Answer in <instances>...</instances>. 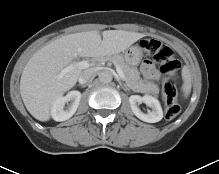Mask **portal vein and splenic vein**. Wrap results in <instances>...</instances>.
<instances>
[{
  "instance_id": "18ae733b",
  "label": "portal vein and splenic vein",
  "mask_w": 219,
  "mask_h": 174,
  "mask_svg": "<svg viewBox=\"0 0 219 174\" xmlns=\"http://www.w3.org/2000/svg\"><path fill=\"white\" fill-rule=\"evenodd\" d=\"M115 67H116V71L118 73V75L124 79L125 78V75L123 73V70L121 69V67L114 63ZM90 66V64L87 62V61H80V62H75L73 64H70L68 65L67 67H65L61 72L60 74L58 75V78H62L66 73L74 70V69H86Z\"/></svg>"
}]
</instances>
